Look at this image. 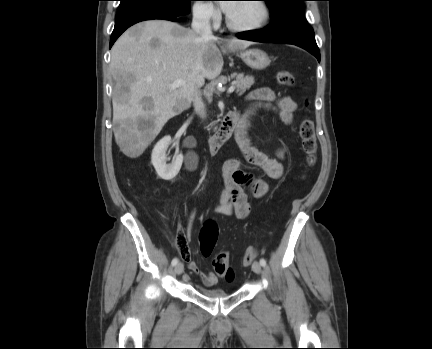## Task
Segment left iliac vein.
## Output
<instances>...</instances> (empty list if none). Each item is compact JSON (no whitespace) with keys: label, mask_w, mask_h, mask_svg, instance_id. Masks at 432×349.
<instances>
[{"label":"left iliac vein","mask_w":432,"mask_h":349,"mask_svg":"<svg viewBox=\"0 0 432 349\" xmlns=\"http://www.w3.org/2000/svg\"><path fill=\"white\" fill-rule=\"evenodd\" d=\"M252 270L257 274H260L262 271L261 264L259 262H254L252 265Z\"/></svg>","instance_id":"4c4485c4"}]
</instances>
